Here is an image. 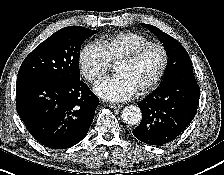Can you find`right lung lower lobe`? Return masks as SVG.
Returning a JSON list of instances; mask_svg holds the SVG:
<instances>
[{
  "label": "right lung lower lobe",
  "mask_w": 224,
  "mask_h": 175,
  "mask_svg": "<svg viewBox=\"0 0 224 175\" xmlns=\"http://www.w3.org/2000/svg\"><path fill=\"white\" fill-rule=\"evenodd\" d=\"M99 99L81 81L22 76L16 109L30 134L51 149H66L88 133Z\"/></svg>",
  "instance_id": "1"
}]
</instances>
